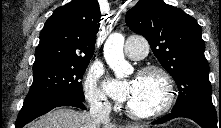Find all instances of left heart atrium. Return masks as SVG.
<instances>
[{
  "mask_svg": "<svg viewBox=\"0 0 221 128\" xmlns=\"http://www.w3.org/2000/svg\"><path fill=\"white\" fill-rule=\"evenodd\" d=\"M137 80L115 83L109 89V94L119 102H127L136 89Z\"/></svg>",
  "mask_w": 221,
  "mask_h": 128,
  "instance_id": "left-heart-atrium-1",
  "label": "left heart atrium"
}]
</instances>
